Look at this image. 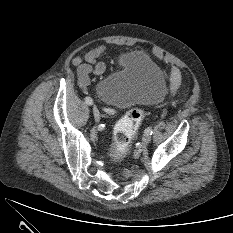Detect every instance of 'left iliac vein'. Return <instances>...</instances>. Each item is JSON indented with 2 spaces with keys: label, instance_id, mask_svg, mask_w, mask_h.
Segmentation results:
<instances>
[{
  "label": "left iliac vein",
  "instance_id": "4c4485c4",
  "mask_svg": "<svg viewBox=\"0 0 233 233\" xmlns=\"http://www.w3.org/2000/svg\"><path fill=\"white\" fill-rule=\"evenodd\" d=\"M150 141H151L150 134L145 133L144 136L142 137V143L143 144H148Z\"/></svg>",
  "mask_w": 233,
  "mask_h": 233
}]
</instances>
